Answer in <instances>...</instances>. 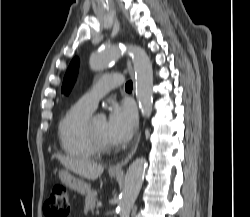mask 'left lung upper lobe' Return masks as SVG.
Returning a JSON list of instances; mask_svg holds the SVG:
<instances>
[{
	"instance_id": "left-lung-upper-lobe-1",
	"label": "left lung upper lobe",
	"mask_w": 250,
	"mask_h": 217,
	"mask_svg": "<svg viewBox=\"0 0 250 217\" xmlns=\"http://www.w3.org/2000/svg\"><path fill=\"white\" fill-rule=\"evenodd\" d=\"M78 67H79V59L76 57L71 61L68 70L65 74L61 89L62 93L66 95L70 93L76 79Z\"/></svg>"
}]
</instances>
